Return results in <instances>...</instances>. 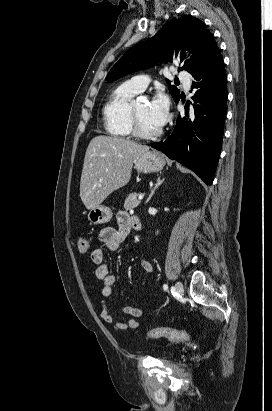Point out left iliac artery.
<instances>
[{
  "label": "left iliac artery",
  "mask_w": 272,
  "mask_h": 411,
  "mask_svg": "<svg viewBox=\"0 0 272 411\" xmlns=\"http://www.w3.org/2000/svg\"><path fill=\"white\" fill-rule=\"evenodd\" d=\"M163 289H164L165 291H167L168 285H167V284H164V285H163Z\"/></svg>",
  "instance_id": "44dca946"
}]
</instances>
